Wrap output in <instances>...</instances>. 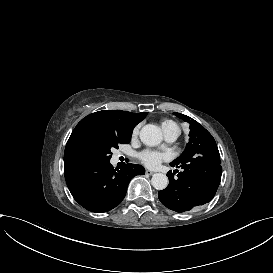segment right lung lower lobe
I'll return each instance as SVG.
<instances>
[{
    "instance_id": "obj_1",
    "label": "right lung lower lobe",
    "mask_w": 273,
    "mask_h": 273,
    "mask_svg": "<svg viewBox=\"0 0 273 273\" xmlns=\"http://www.w3.org/2000/svg\"><path fill=\"white\" fill-rule=\"evenodd\" d=\"M144 173L141 165L126 164L118 170L108 162L85 166L65 179L72 196L81 206L91 212L103 213L120 204L130 180Z\"/></svg>"
}]
</instances>
